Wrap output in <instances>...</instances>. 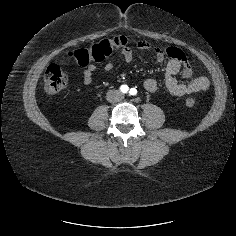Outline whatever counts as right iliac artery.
I'll return each instance as SVG.
<instances>
[{"mask_svg":"<svg viewBox=\"0 0 236 236\" xmlns=\"http://www.w3.org/2000/svg\"><path fill=\"white\" fill-rule=\"evenodd\" d=\"M120 90H121L122 93H127L128 90H129V87L127 85H122L120 87Z\"/></svg>","mask_w":236,"mask_h":236,"instance_id":"right-iliac-artery-1","label":"right iliac artery"}]
</instances>
